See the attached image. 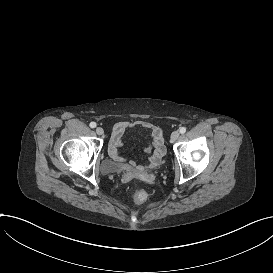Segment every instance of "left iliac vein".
<instances>
[{"label":"left iliac vein","instance_id":"1","mask_svg":"<svg viewBox=\"0 0 273 273\" xmlns=\"http://www.w3.org/2000/svg\"><path fill=\"white\" fill-rule=\"evenodd\" d=\"M179 136H180V133H179V131H173V133L171 134V140H172V142H175L178 138H179Z\"/></svg>","mask_w":273,"mask_h":273}]
</instances>
